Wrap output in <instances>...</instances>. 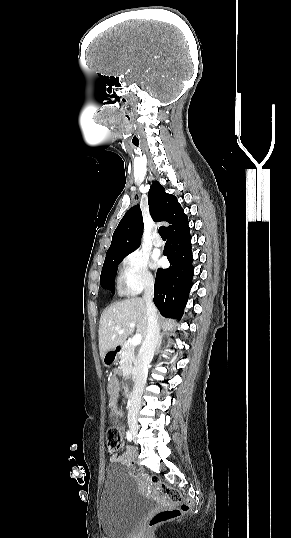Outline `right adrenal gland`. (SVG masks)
<instances>
[{
  "label": "right adrenal gland",
  "mask_w": 291,
  "mask_h": 538,
  "mask_svg": "<svg viewBox=\"0 0 291 538\" xmlns=\"http://www.w3.org/2000/svg\"><path fill=\"white\" fill-rule=\"evenodd\" d=\"M163 336H164V334H161V335L159 336V341H158V346H157V348L160 347V345H161V343H162V340H163Z\"/></svg>",
  "instance_id": "1"
}]
</instances>
